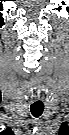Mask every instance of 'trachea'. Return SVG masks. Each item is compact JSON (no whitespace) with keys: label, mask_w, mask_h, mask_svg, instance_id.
<instances>
[{"label":"trachea","mask_w":69,"mask_h":135,"mask_svg":"<svg viewBox=\"0 0 69 135\" xmlns=\"http://www.w3.org/2000/svg\"><path fill=\"white\" fill-rule=\"evenodd\" d=\"M30 110L34 117H39L44 111V105L41 102H35L31 105Z\"/></svg>","instance_id":"1"}]
</instances>
